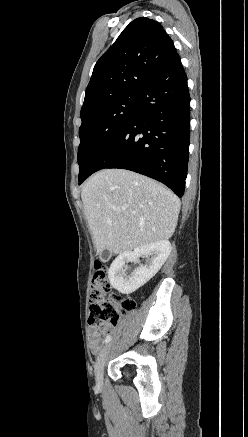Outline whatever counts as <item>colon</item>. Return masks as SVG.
Instances as JSON below:
<instances>
[{"label":"colon","mask_w":248,"mask_h":437,"mask_svg":"<svg viewBox=\"0 0 248 437\" xmlns=\"http://www.w3.org/2000/svg\"><path fill=\"white\" fill-rule=\"evenodd\" d=\"M89 302V324L95 328L103 325H117L121 317V310L125 312L135 306L133 301L122 300L112 293L107 267L101 262L95 264Z\"/></svg>","instance_id":"obj_1"}]
</instances>
